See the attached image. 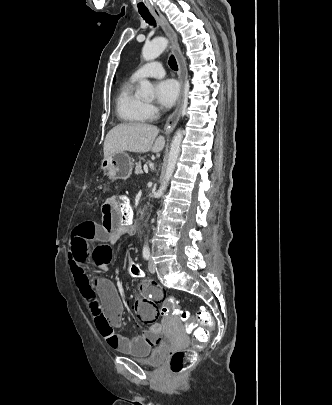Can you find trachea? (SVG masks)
Segmentation results:
<instances>
[{
    "label": "trachea",
    "mask_w": 332,
    "mask_h": 405,
    "mask_svg": "<svg viewBox=\"0 0 332 405\" xmlns=\"http://www.w3.org/2000/svg\"><path fill=\"white\" fill-rule=\"evenodd\" d=\"M140 15L142 16V18L149 23L150 25H155V19L153 18V16L150 14V12L148 10H143V11H139ZM169 66L171 67V69L177 71L178 70V66H177V62L174 56H171L169 58Z\"/></svg>",
    "instance_id": "1"
}]
</instances>
